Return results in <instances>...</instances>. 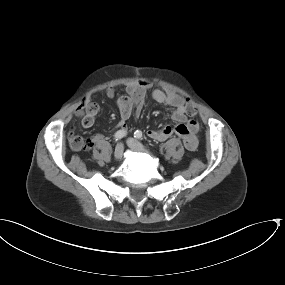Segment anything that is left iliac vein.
<instances>
[{"instance_id": "4c4485c4", "label": "left iliac vein", "mask_w": 285, "mask_h": 285, "mask_svg": "<svg viewBox=\"0 0 285 285\" xmlns=\"http://www.w3.org/2000/svg\"><path fill=\"white\" fill-rule=\"evenodd\" d=\"M126 143L133 150L145 151L144 146L134 138H128Z\"/></svg>"}]
</instances>
